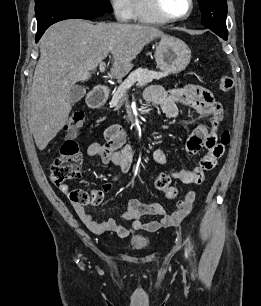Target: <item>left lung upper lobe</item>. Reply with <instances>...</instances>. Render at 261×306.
Returning <instances> with one entry per match:
<instances>
[{
    "label": "left lung upper lobe",
    "mask_w": 261,
    "mask_h": 306,
    "mask_svg": "<svg viewBox=\"0 0 261 306\" xmlns=\"http://www.w3.org/2000/svg\"><path fill=\"white\" fill-rule=\"evenodd\" d=\"M202 13V24L215 33H228L226 28V0H197Z\"/></svg>",
    "instance_id": "1"
}]
</instances>
